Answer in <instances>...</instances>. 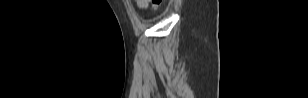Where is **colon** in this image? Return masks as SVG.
Wrapping results in <instances>:
<instances>
[{
	"label": "colon",
	"instance_id": "colon-1",
	"mask_svg": "<svg viewBox=\"0 0 308 98\" xmlns=\"http://www.w3.org/2000/svg\"><path fill=\"white\" fill-rule=\"evenodd\" d=\"M163 0H137V4L142 7H147L149 4L152 5L154 9H157Z\"/></svg>",
	"mask_w": 308,
	"mask_h": 98
}]
</instances>
